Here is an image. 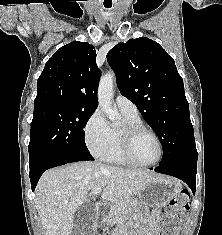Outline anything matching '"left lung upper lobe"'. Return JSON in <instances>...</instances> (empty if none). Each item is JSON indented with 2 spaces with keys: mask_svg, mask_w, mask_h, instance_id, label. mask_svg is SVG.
Segmentation results:
<instances>
[{
  "mask_svg": "<svg viewBox=\"0 0 222 235\" xmlns=\"http://www.w3.org/2000/svg\"><path fill=\"white\" fill-rule=\"evenodd\" d=\"M107 61L121 94L158 135L163 148L160 164L197 158L183 80L161 45L146 37L130 39L112 48Z\"/></svg>",
  "mask_w": 222,
  "mask_h": 235,
  "instance_id": "5c2ea615",
  "label": "left lung upper lobe"
}]
</instances>
